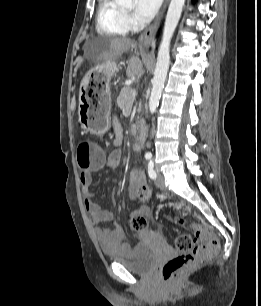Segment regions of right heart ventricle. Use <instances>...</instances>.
Instances as JSON below:
<instances>
[{
  "instance_id": "1",
  "label": "right heart ventricle",
  "mask_w": 261,
  "mask_h": 306,
  "mask_svg": "<svg viewBox=\"0 0 261 306\" xmlns=\"http://www.w3.org/2000/svg\"><path fill=\"white\" fill-rule=\"evenodd\" d=\"M96 28L99 34L124 36L129 31L124 10L114 0H99Z\"/></svg>"
}]
</instances>
